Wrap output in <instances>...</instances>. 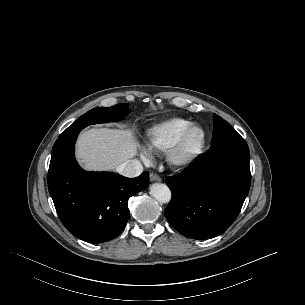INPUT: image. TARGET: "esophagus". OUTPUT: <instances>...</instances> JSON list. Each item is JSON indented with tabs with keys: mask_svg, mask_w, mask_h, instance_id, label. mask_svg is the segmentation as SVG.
<instances>
[{
	"mask_svg": "<svg viewBox=\"0 0 305 305\" xmlns=\"http://www.w3.org/2000/svg\"><path fill=\"white\" fill-rule=\"evenodd\" d=\"M150 181H152V182H160L161 178L157 174L151 173L150 174Z\"/></svg>",
	"mask_w": 305,
	"mask_h": 305,
	"instance_id": "obj_1",
	"label": "esophagus"
}]
</instances>
